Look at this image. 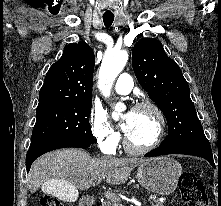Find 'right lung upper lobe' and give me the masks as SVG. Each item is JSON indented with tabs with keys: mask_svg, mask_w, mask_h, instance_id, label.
<instances>
[{
	"mask_svg": "<svg viewBox=\"0 0 221 206\" xmlns=\"http://www.w3.org/2000/svg\"><path fill=\"white\" fill-rule=\"evenodd\" d=\"M94 64V52L87 43L66 46L45 76L37 108L92 103Z\"/></svg>",
	"mask_w": 221,
	"mask_h": 206,
	"instance_id": "1",
	"label": "right lung upper lobe"
}]
</instances>
